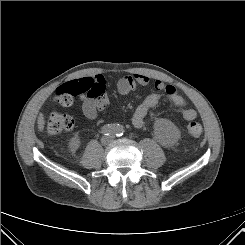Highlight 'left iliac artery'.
Wrapping results in <instances>:
<instances>
[{"instance_id":"44dca946","label":"left iliac artery","mask_w":245,"mask_h":245,"mask_svg":"<svg viewBox=\"0 0 245 245\" xmlns=\"http://www.w3.org/2000/svg\"><path fill=\"white\" fill-rule=\"evenodd\" d=\"M123 133H124V128H123V126L117 124V125L115 126V135L118 136V137H120V136L123 135Z\"/></svg>"}]
</instances>
